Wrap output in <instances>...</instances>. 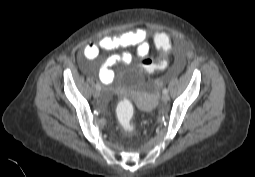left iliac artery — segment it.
<instances>
[{
    "label": "left iliac artery",
    "mask_w": 255,
    "mask_h": 177,
    "mask_svg": "<svg viewBox=\"0 0 255 177\" xmlns=\"http://www.w3.org/2000/svg\"><path fill=\"white\" fill-rule=\"evenodd\" d=\"M163 94H168V89H163Z\"/></svg>",
    "instance_id": "44dca946"
}]
</instances>
